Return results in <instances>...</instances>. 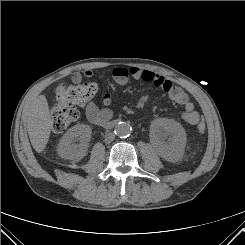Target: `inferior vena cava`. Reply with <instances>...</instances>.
<instances>
[{
    "instance_id": "inferior-vena-cava-1",
    "label": "inferior vena cava",
    "mask_w": 245,
    "mask_h": 245,
    "mask_svg": "<svg viewBox=\"0 0 245 245\" xmlns=\"http://www.w3.org/2000/svg\"><path fill=\"white\" fill-rule=\"evenodd\" d=\"M115 139V134L112 132H109L105 135V142L111 143Z\"/></svg>"
}]
</instances>
